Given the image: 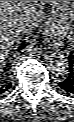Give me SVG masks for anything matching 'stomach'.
<instances>
[{
    "label": "stomach",
    "mask_w": 74,
    "mask_h": 122,
    "mask_svg": "<svg viewBox=\"0 0 74 122\" xmlns=\"http://www.w3.org/2000/svg\"><path fill=\"white\" fill-rule=\"evenodd\" d=\"M52 5L55 21H68L74 17V1H55Z\"/></svg>",
    "instance_id": "0dacf381"
}]
</instances>
